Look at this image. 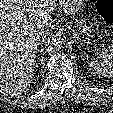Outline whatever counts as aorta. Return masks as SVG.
Returning a JSON list of instances; mask_svg holds the SVG:
<instances>
[{
  "label": "aorta",
  "instance_id": "1",
  "mask_svg": "<svg viewBox=\"0 0 113 113\" xmlns=\"http://www.w3.org/2000/svg\"><path fill=\"white\" fill-rule=\"evenodd\" d=\"M64 43V39L60 34H51L44 40V47L49 52L59 51Z\"/></svg>",
  "mask_w": 113,
  "mask_h": 113
}]
</instances>
